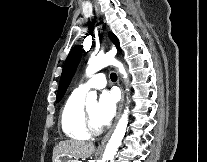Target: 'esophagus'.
<instances>
[{
	"label": "esophagus",
	"mask_w": 207,
	"mask_h": 162,
	"mask_svg": "<svg viewBox=\"0 0 207 162\" xmlns=\"http://www.w3.org/2000/svg\"><path fill=\"white\" fill-rule=\"evenodd\" d=\"M95 12H96L97 15L99 14V11H98L97 7H95ZM120 87H121V85H120ZM123 103H124V90L121 87V100H120V104H119V107H118L115 123H114L112 129L105 135V137L102 139V141L98 145L97 151L100 152V151L104 150V148H105V146H106V144H107V142H108V140L110 138V135H111V133H112V131H113V129H114V127H115V125H116L120 115H121L122 108H123Z\"/></svg>",
	"instance_id": "34e87169"
}]
</instances>
